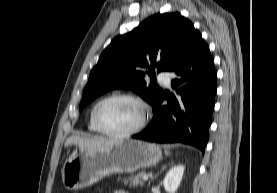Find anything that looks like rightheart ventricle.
<instances>
[{"instance_id":"e07e8e85","label":"right heart ventricle","mask_w":277,"mask_h":193,"mask_svg":"<svg viewBox=\"0 0 277 193\" xmlns=\"http://www.w3.org/2000/svg\"><path fill=\"white\" fill-rule=\"evenodd\" d=\"M92 111V110H91ZM88 130L90 132L93 133H99V131L96 129V127L94 126L92 119H91V112H90V116H89V120H88V124H87Z\"/></svg>"}]
</instances>
